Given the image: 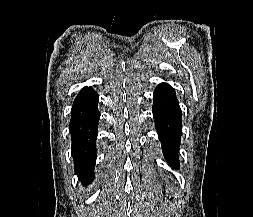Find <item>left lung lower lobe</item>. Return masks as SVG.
<instances>
[{"label":"left lung lower lobe","mask_w":253,"mask_h":217,"mask_svg":"<svg viewBox=\"0 0 253 217\" xmlns=\"http://www.w3.org/2000/svg\"><path fill=\"white\" fill-rule=\"evenodd\" d=\"M153 102V118L164 156L173 168L178 169L181 110L174 89L168 84L161 83L154 92Z\"/></svg>","instance_id":"0a47b994"}]
</instances>
